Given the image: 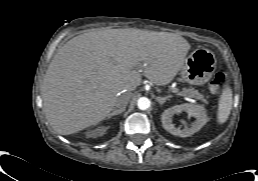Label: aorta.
I'll return each instance as SVG.
<instances>
[{
    "label": "aorta",
    "mask_w": 258,
    "mask_h": 181,
    "mask_svg": "<svg viewBox=\"0 0 258 181\" xmlns=\"http://www.w3.org/2000/svg\"><path fill=\"white\" fill-rule=\"evenodd\" d=\"M150 100L147 97H141L137 101L138 108L140 110H146L150 107Z\"/></svg>",
    "instance_id": "obj_1"
}]
</instances>
